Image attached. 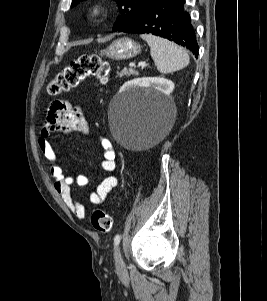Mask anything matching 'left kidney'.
<instances>
[{
	"label": "left kidney",
	"instance_id": "obj_1",
	"mask_svg": "<svg viewBox=\"0 0 267 301\" xmlns=\"http://www.w3.org/2000/svg\"><path fill=\"white\" fill-rule=\"evenodd\" d=\"M141 87V88H153L156 91H159L165 95H170V93L174 89V83L168 79L160 78V77H147V78H139L133 81H129L125 83L120 92H124L131 87Z\"/></svg>",
	"mask_w": 267,
	"mask_h": 301
}]
</instances>
